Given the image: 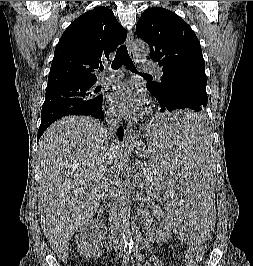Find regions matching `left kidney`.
<instances>
[{"label": "left kidney", "instance_id": "left-kidney-1", "mask_svg": "<svg viewBox=\"0 0 253 266\" xmlns=\"http://www.w3.org/2000/svg\"><path fill=\"white\" fill-rule=\"evenodd\" d=\"M163 229L159 231L151 230V237L156 241H166L171 233V223H169L166 216H162Z\"/></svg>", "mask_w": 253, "mask_h": 266}]
</instances>
